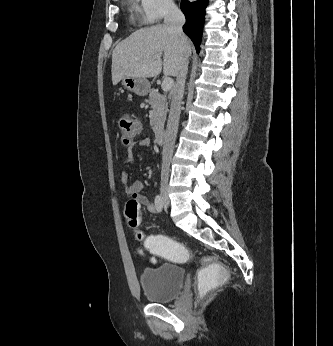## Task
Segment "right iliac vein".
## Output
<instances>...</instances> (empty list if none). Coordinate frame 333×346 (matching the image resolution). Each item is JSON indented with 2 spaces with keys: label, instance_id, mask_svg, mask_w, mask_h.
I'll return each mask as SVG.
<instances>
[{
  "label": "right iliac vein",
  "instance_id": "obj_1",
  "mask_svg": "<svg viewBox=\"0 0 333 346\" xmlns=\"http://www.w3.org/2000/svg\"><path fill=\"white\" fill-rule=\"evenodd\" d=\"M160 195L163 201V205L165 207H168L170 204V199H169V192H168V184L166 179H164L161 183L160 186Z\"/></svg>",
  "mask_w": 333,
  "mask_h": 346
}]
</instances>
